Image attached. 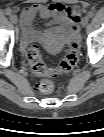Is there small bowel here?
Listing matches in <instances>:
<instances>
[{"label":"small bowel","mask_w":104,"mask_h":137,"mask_svg":"<svg viewBox=\"0 0 104 137\" xmlns=\"http://www.w3.org/2000/svg\"><path fill=\"white\" fill-rule=\"evenodd\" d=\"M36 15L50 21L51 29L49 31H35L32 28ZM79 20L80 14L77 9L62 3L33 4L27 6L20 13L22 26L21 47L25 49L31 41L41 39L49 32L62 33L76 40Z\"/></svg>","instance_id":"obj_1"}]
</instances>
